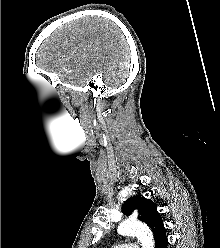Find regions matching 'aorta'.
I'll return each mask as SVG.
<instances>
[{
  "instance_id": "obj_1",
  "label": "aorta",
  "mask_w": 220,
  "mask_h": 248,
  "mask_svg": "<svg viewBox=\"0 0 220 248\" xmlns=\"http://www.w3.org/2000/svg\"><path fill=\"white\" fill-rule=\"evenodd\" d=\"M117 232L123 236H136L141 242L142 248H154L155 242L151 230L140 221L126 219L120 223Z\"/></svg>"
}]
</instances>
